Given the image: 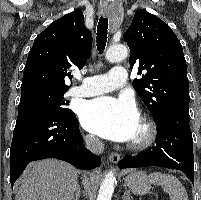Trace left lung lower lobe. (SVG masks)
Wrapping results in <instances>:
<instances>
[{"mask_svg": "<svg viewBox=\"0 0 201 200\" xmlns=\"http://www.w3.org/2000/svg\"><path fill=\"white\" fill-rule=\"evenodd\" d=\"M189 110L170 108L156 119V144L137 156H126L118 163L120 169L159 166L177 169L194 184L193 139L189 126Z\"/></svg>", "mask_w": 201, "mask_h": 200, "instance_id": "obj_1", "label": "left lung lower lobe"}]
</instances>
